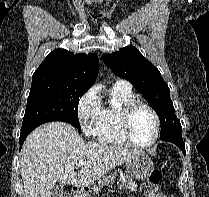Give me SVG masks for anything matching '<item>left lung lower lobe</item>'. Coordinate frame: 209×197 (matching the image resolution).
Here are the masks:
<instances>
[{"label": "left lung lower lobe", "instance_id": "1", "mask_svg": "<svg viewBox=\"0 0 209 197\" xmlns=\"http://www.w3.org/2000/svg\"><path fill=\"white\" fill-rule=\"evenodd\" d=\"M163 141H167V142H171V143H174L175 145H177L180 150L183 152V154L185 155V145H184V142H183V139H182V136L180 137H169V138H166V139H162Z\"/></svg>", "mask_w": 209, "mask_h": 197}]
</instances>
